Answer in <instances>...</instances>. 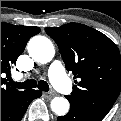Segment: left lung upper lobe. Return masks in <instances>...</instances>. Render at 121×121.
Returning a JSON list of instances; mask_svg holds the SVG:
<instances>
[{"label": "left lung upper lobe", "mask_w": 121, "mask_h": 121, "mask_svg": "<svg viewBox=\"0 0 121 121\" xmlns=\"http://www.w3.org/2000/svg\"><path fill=\"white\" fill-rule=\"evenodd\" d=\"M57 43L65 67L78 79L70 104L105 117L121 89V57L117 46L101 32L79 23L46 28Z\"/></svg>", "instance_id": "1"}]
</instances>
